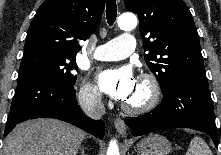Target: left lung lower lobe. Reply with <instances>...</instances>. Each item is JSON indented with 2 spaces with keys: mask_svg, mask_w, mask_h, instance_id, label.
Here are the masks:
<instances>
[{
  "mask_svg": "<svg viewBox=\"0 0 221 155\" xmlns=\"http://www.w3.org/2000/svg\"><path fill=\"white\" fill-rule=\"evenodd\" d=\"M133 135L168 128H192L207 133L218 147L213 103L206 75H191L176 81L151 112L125 118Z\"/></svg>",
  "mask_w": 221,
  "mask_h": 155,
  "instance_id": "1",
  "label": "left lung lower lobe"
}]
</instances>
